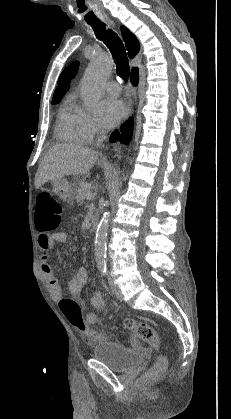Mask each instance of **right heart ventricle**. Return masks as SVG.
Returning <instances> with one entry per match:
<instances>
[{"mask_svg":"<svg viewBox=\"0 0 231 419\" xmlns=\"http://www.w3.org/2000/svg\"><path fill=\"white\" fill-rule=\"evenodd\" d=\"M87 115L74 102L72 97L60 107L56 123V135L59 139L75 144L88 142L85 133Z\"/></svg>","mask_w":231,"mask_h":419,"instance_id":"obj_1","label":"right heart ventricle"}]
</instances>
